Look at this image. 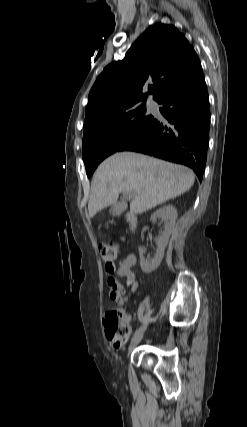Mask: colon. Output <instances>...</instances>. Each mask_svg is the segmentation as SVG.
Segmentation results:
<instances>
[{
	"label": "colon",
	"instance_id": "colon-1",
	"mask_svg": "<svg viewBox=\"0 0 247 427\" xmlns=\"http://www.w3.org/2000/svg\"><path fill=\"white\" fill-rule=\"evenodd\" d=\"M99 251L104 261L112 263L120 255L121 248L117 243L108 242L102 244ZM104 327L107 339L115 348L123 347L130 337L131 328L121 309H113L106 312Z\"/></svg>",
	"mask_w": 247,
	"mask_h": 427
}]
</instances>
